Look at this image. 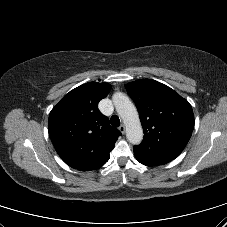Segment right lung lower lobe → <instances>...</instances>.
<instances>
[{"mask_svg":"<svg viewBox=\"0 0 227 227\" xmlns=\"http://www.w3.org/2000/svg\"><path fill=\"white\" fill-rule=\"evenodd\" d=\"M109 157H110V155L108 154L97 166H93V167L85 168V169H81V170L82 171H91V170L98 169L108 161Z\"/></svg>","mask_w":227,"mask_h":227,"instance_id":"obj_1","label":"right lung lower lobe"}]
</instances>
